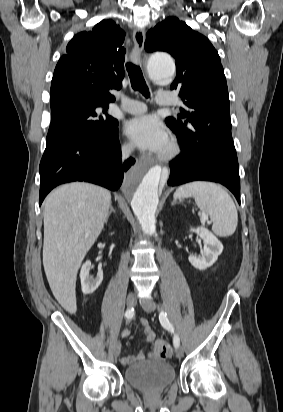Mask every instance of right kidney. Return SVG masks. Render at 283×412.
Listing matches in <instances>:
<instances>
[{
  "mask_svg": "<svg viewBox=\"0 0 283 412\" xmlns=\"http://www.w3.org/2000/svg\"><path fill=\"white\" fill-rule=\"evenodd\" d=\"M93 268L91 266V262L87 260L80 272V279H81V287L83 294H92L101 284L103 280V271L102 269H98L97 276L94 278L90 275V269Z\"/></svg>",
  "mask_w": 283,
  "mask_h": 412,
  "instance_id": "1",
  "label": "right kidney"
}]
</instances>
